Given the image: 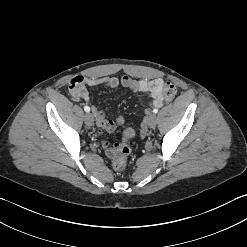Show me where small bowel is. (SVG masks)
<instances>
[{"mask_svg":"<svg viewBox=\"0 0 247 247\" xmlns=\"http://www.w3.org/2000/svg\"><path fill=\"white\" fill-rule=\"evenodd\" d=\"M165 82L162 79H153L150 81L136 80L129 76H123L120 79L113 76L104 77H84L75 76L70 80L68 85L69 95L78 101H83L91 104V98L88 93L87 87L102 86L105 88H116L122 86L133 92L141 93L146 96L149 107H156L162 104L164 99L163 89ZM92 110L97 121V125L101 132H111L117 125L123 123L124 119L118 116L116 120H110L106 117L105 112L92 105ZM147 110L143 114V119L140 128V137L143 138L147 132ZM115 145H110L107 142L103 143L105 153L108 157H114Z\"/></svg>","mask_w":247,"mask_h":247,"instance_id":"small-bowel-1","label":"small bowel"}]
</instances>
